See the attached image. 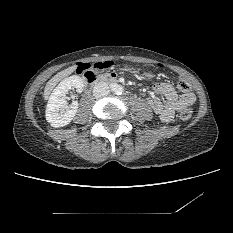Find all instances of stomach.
Listing matches in <instances>:
<instances>
[{
	"mask_svg": "<svg viewBox=\"0 0 233 233\" xmlns=\"http://www.w3.org/2000/svg\"><path fill=\"white\" fill-rule=\"evenodd\" d=\"M125 69H129L127 66H125ZM144 77L147 80H151L153 78V75L151 73H144Z\"/></svg>",
	"mask_w": 233,
	"mask_h": 233,
	"instance_id": "obj_1",
	"label": "stomach"
}]
</instances>
